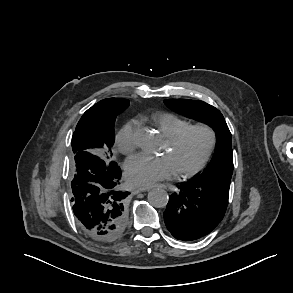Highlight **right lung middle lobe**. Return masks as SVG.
Here are the masks:
<instances>
[{
    "mask_svg": "<svg viewBox=\"0 0 293 293\" xmlns=\"http://www.w3.org/2000/svg\"><path fill=\"white\" fill-rule=\"evenodd\" d=\"M128 106L129 101L126 99L110 98L88 109L73 133V153L93 151L102 159L111 162V147L115 141V120L118 113Z\"/></svg>",
    "mask_w": 293,
    "mask_h": 293,
    "instance_id": "right-lung-middle-lobe-1",
    "label": "right lung middle lobe"
}]
</instances>
